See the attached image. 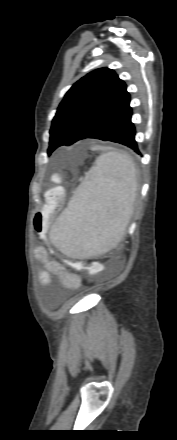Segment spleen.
<instances>
[{
	"mask_svg": "<svg viewBox=\"0 0 177 440\" xmlns=\"http://www.w3.org/2000/svg\"><path fill=\"white\" fill-rule=\"evenodd\" d=\"M136 188L131 157L103 153L54 223L52 243L74 258H88L116 247L129 223Z\"/></svg>",
	"mask_w": 177,
	"mask_h": 440,
	"instance_id": "obj_1",
	"label": "spleen"
}]
</instances>
